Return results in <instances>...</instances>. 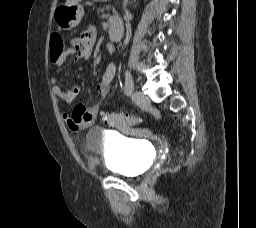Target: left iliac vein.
Instances as JSON below:
<instances>
[{
  "label": "left iliac vein",
  "mask_w": 256,
  "mask_h": 228,
  "mask_svg": "<svg viewBox=\"0 0 256 228\" xmlns=\"http://www.w3.org/2000/svg\"><path fill=\"white\" fill-rule=\"evenodd\" d=\"M132 100L140 107H146L149 104V98L138 90L132 93Z\"/></svg>",
  "instance_id": "obj_1"
}]
</instances>
